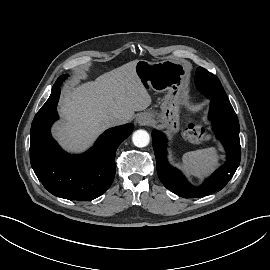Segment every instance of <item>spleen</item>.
Returning <instances> with one entry per match:
<instances>
[{"instance_id": "3e777b00", "label": "spleen", "mask_w": 270, "mask_h": 270, "mask_svg": "<svg viewBox=\"0 0 270 270\" xmlns=\"http://www.w3.org/2000/svg\"><path fill=\"white\" fill-rule=\"evenodd\" d=\"M218 163L219 155L216 148L191 151L182 156V164L186 171L199 178L212 172Z\"/></svg>"}]
</instances>
